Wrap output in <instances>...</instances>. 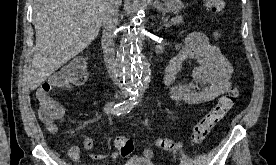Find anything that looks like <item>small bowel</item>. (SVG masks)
<instances>
[{"mask_svg": "<svg viewBox=\"0 0 276 165\" xmlns=\"http://www.w3.org/2000/svg\"><path fill=\"white\" fill-rule=\"evenodd\" d=\"M186 60H195L193 81L176 84V75ZM233 68L220 48L213 44L202 32H191L177 48V54L169 61L164 77V84L172 100L177 104H201L212 101L225 94L231 88ZM84 148L91 149L92 140L82 136ZM79 149L72 148L71 156L77 158ZM118 157L112 156L113 161Z\"/></svg>", "mask_w": 276, "mask_h": 165, "instance_id": "c3829d8e", "label": "small bowel"}]
</instances>
